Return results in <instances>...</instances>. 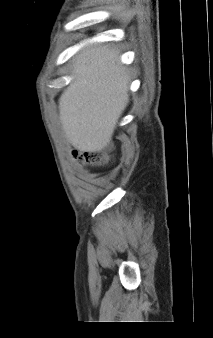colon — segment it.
I'll return each mask as SVG.
<instances>
[{
	"mask_svg": "<svg viewBox=\"0 0 213 338\" xmlns=\"http://www.w3.org/2000/svg\"><path fill=\"white\" fill-rule=\"evenodd\" d=\"M74 155L79 159L82 164L92 167H100L104 165L107 161L106 155L101 152H75Z\"/></svg>",
	"mask_w": 213,
	"mask_h": 338,
	"instance_id": "5ec220e1",
	"label": "colon"
}]
</instances>
